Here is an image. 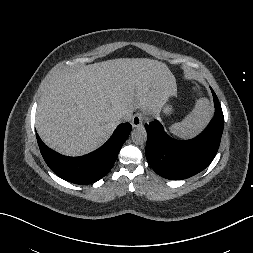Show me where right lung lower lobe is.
<instances>
[{"mask_svg":"<svg viewBox=\"0 0 253 253\" xmlns=\"http://www.w3.org/2000/svg\"><path fill=\"white\" fill-rule=\"evenodd\" d=\"M132 127L121 124L112 137L96 151L82 157H66L47 147L36 133L41 154L58 176L75 184H91L104 177L113 167Z\"/></svg>","mask_w":253,"mask_h":253,"instance_id":"98d812e1","label":"right lung lower lobe"}]
</instances>
